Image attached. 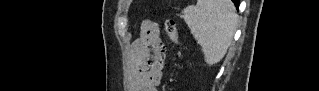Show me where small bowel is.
Instances as JSON below:
<instances>
[{
  "instance_id": "c3829d8e",
  "label": "small bowel",
  "mask_w": 319,
  "mask_h": 91,
  "mask_svg": "<svg viewBox=\"0 0 319 91\" xmlns=\"http://www.w3.org/2000/svg\"><path fill=\"white\" fill-rule=\"evenodd\" d=\"M141 29V37L131 46L134 69L130 85L134 91H156L166 68L168 51L155 24L145 21Z\"/></svg>"
}]
</instances>
